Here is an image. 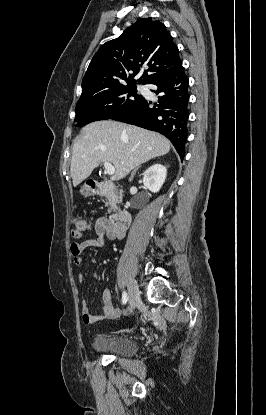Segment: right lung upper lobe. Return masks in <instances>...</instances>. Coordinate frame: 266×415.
<instances>
[{"label":"right lung upper lobe","instance_id":"right-lung-upper-lobe-1","mask_svg":"<svg viewBox=\"0 0 266 415\" xmlns=\"http://www.w3.org/2000/svg\"><path fill=\"white\" fill-rule=\"evenodd\" d=\"M145 64L149 69L138 80L144 84L182 65L179 50L165 25L152 18L140 19L120 37L100 47L83 78L80 99L124 85H136L134 77Z\"/></svg>","mask_w":266,"mask_h":415}]
</instances>
